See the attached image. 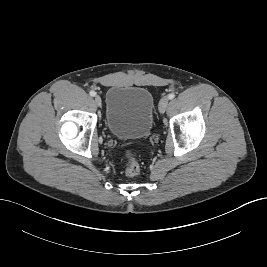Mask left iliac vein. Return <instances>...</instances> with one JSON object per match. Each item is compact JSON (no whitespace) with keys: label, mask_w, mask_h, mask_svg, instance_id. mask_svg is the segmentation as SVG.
Listing matches in <instances>:
<instances>
[{"label":"left iliac vein","mask_w":267,"mask_h":267,"mask_svg":"<svg viewBox=\"0 0 267 267\" xmlns=\"http://www.w3.org/2000/svg\"><path fill=\"white\" fill-rule=\"evenodd\" d=\"M168 104H169V99L167 97H163L159 102V112L164 113Z\"/></svg>","instance_id":"1"}]
</instances>
